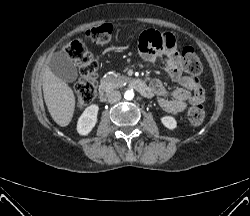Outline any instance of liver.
I'll list each match as a JSON object with an SVG mask.
<instances>
[{
	"label": "liver",
	"instance_id": "1",
	"mask_svg": "<svg viewBox=\"0 0 250 216\" xmlns=\"http://www.w3.org/2000/svg\"><path fill=\"white\" fill-rule=\"evenodd\" d=\"M43 94L48 111L61 127L67 126L73 117L75 96L71 87L52 73L46 66L43 74Z\"/></svg>",
	"mask_w": 250,
	"mask_h": 216
}]
</instances>
